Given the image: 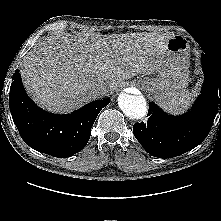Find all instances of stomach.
Listing matches in <instances>:
<instances>
[{
  "instance_id": "0dacf381",
  "label": "stomach",
  "mask_w": 221,
  "mask_h": 221,
  "mask_svg": "<svg viewBox=\"0 0 221 221\" xmlns=\"http://www.w3.org/2000/svg\"><path fill=\"white\" fill-rule=\"evenodd\" d=\"M189 41L182 35H175L167 41V60L153 78H144L140 84L151 93L163 107L179 105L187 95Z\"/></svg>"
}]
</instances>
